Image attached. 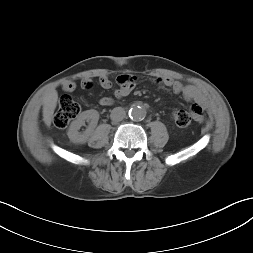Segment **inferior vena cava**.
Wrapping results in <instances>:
<instances>
[{"label":"inferior vena cava","instance_id":"1","mask_svg":"<svg viewBox=\"0 0 253 253\" xmlns=\"http://www.w3.org/2000/svg\"><path fill=\"white\" fill-rule=\"evenodd\" d=\"M126 116V112L122 107H116L111 112V119L115 122L122 121Z\"/></svg>","mask_w":253,"mask_h":253}]
</instances>
